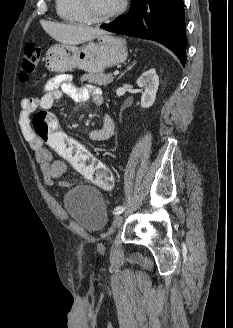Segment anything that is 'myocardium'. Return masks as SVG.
<instances>
[{"instance_id":"obj_1","label":"myocardium","mask_w":233,"mask_h":328,"mask_svg":"<svg viewBox=\"0 0 233 328\" xmlns=\"http://www.w3.org/2000/svg\"><path fill=\"white\" fill-rule=\"evenodd\" d=\"M79 7L85 17L86 22L91 24H101L112 20L113 18L119 16L124 12L126 9L127 2L126 0H121L119 5L112 10L111 12L102 15V16H95L92 15L90 12L89 1L88 0H78Z\"/></svg>"}]
</instances>
